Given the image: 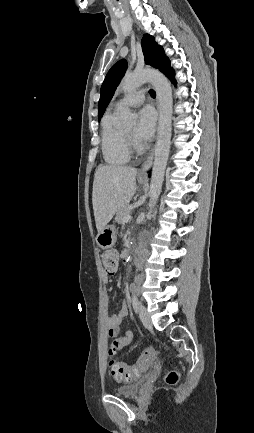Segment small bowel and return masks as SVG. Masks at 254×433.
<instances>
[{
    "label": "small bowel",
    "instance_id": "small-bowel-1",
    "mask_svg": "<svg viewBox=\"0 0 254 433\" xmlns=\"http://www.w3.org/2000/svg\"><path fill=\"white\" fill-rule=\"evenodd\" d=\"M107 281V279H106ZM128 314V305L126 302L121 304L119 311L111 316H105L103 320V327L109 337L115 338L113 346L117 350H121L125 346L129 345L134 339V333L130 330L126 331L122 336H119V326L125 316ZM146 352L154 353L152 348L146 350Z\"/></svg>",
    "mask_w": 254,
    "mask_h": 433
}]
</instances>
